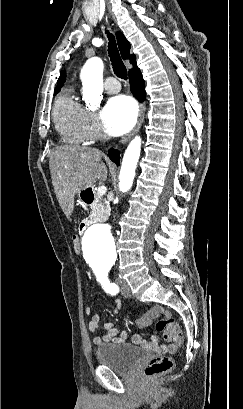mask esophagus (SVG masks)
Listing matches in <instances>:
<instances>
[{
	"mask_svg": "<svg viewBox=\"0 0 243 409\" xmlns=\"http://www.w3.org/2000/svg\"><path fill=\"white\" fill-rule=\"evenodd\" d=\"M145 109H146L145 104L141 103L136 126L134 127V129L131 132H129L128 134H126L125 136H123L121 138V140H120L121 144H124L127 141H129L139 131V129L142 126L143 120H144Z\"/></svg>",
	"mask_w": 243,
	"mask_h": 409,
	"instance_id": "34e87169",
	"label": "esophagus"
}]
</instances>
